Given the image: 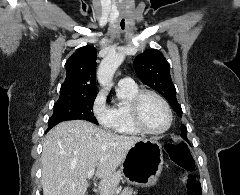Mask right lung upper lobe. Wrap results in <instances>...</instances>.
<instances>
[{
	"label": "right lung upper lobe",
	"instance_id": "right-lung-upper-lobe-1",
	"mask_svg": "<svg viewBox=\"0 0 240 195\" xmlns=\"http://www.w3.org/2000/svg\"><path fill=\"white\" fill-rule=\"evenodd\" d=\"M96 49L84 46L66 62V79L60 97L96 96Z\"/></svg>",
	"mask_w": 240,
	"mask_h": 195
}]
</instances>
